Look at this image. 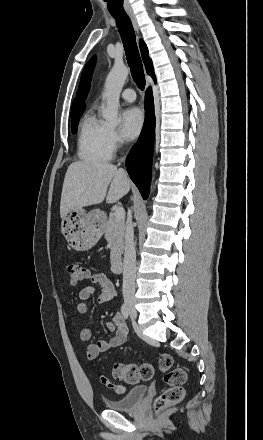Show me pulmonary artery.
I'll use <instances>...</instances> for the list:
<instances>
[{
  "mask_svg": "<svg viewBox=\"0 0 263 440\" xmlns=\"http://www.w3.org/2000/svg\"><path fill=\"white\" fill-rule=\"evenodd\" d=\"M121 97L122 99L128 101V102H133L136 99V94L135 91L131 88H126L122 91L121 93Z\"/></svg>",
  "mask_w": 263,
  "mask_h": 440,
  "instance_id": "pulmonary-artery-1",
  "label": "pulmonary artery"
}]
</instances>
